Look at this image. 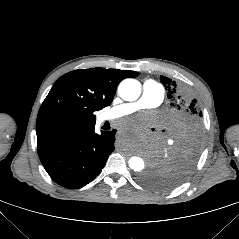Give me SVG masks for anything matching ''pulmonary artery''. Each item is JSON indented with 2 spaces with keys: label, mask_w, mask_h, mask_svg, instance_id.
<instances>
[{
  "label": "pulmonary artery",
  "mask_w": 239,
  "mask_h": 239,
  "mask_svg": "<svg viewBox=\"0 0 239 239\" xmlns=\"http://www.w3.org/2000/svg\"><path fill=\"white\" fill-rule=\"evenodd\" d=\"M164 87L155 80H146L143 83V92L141 97L134 102L117 105L102 116L103 121H112L123 116L132 114L142 109L158 107L164 99Z\"/></svg>",
  "instance_id": "1"
}]
</instances>
